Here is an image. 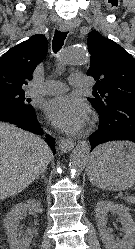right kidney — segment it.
<instances>
[{"label": "right kidney", "mask_w": 135, "mask_h": 249, "mask_svg": "<svg viewBox=\"0 0 135 249\" xmlns=\"http://www.w3.org/2000/svg\"><path fill=\"white\" fill-rule=\"evenodd\" d=\"M28 210L35 213H42L43 211L40 202L29 200L26 203H19L14 206L4 219V227L7 233L10 249H29L33 233L31 231H28L24 235L18 233L19 221Z\"/></svg>", "instance_id": "1"}]
</instances>
